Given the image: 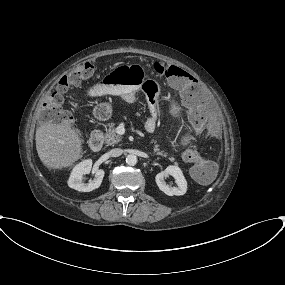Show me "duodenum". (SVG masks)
Returning <instances> with one entry per match:
<instances>
[{"label": "duodenum", "mask_w": 285, "mask_h": 285, "mask_svg": "<svg viewBox=\"0 0 285 285\" xmlns=\"http://www.w3.org/2000/svg\"><path fill=\"white\" fill-rule=\"evenodd\" d=\"M103 145V132L100 129L93 130L90 137V146L92 150L99 151Z\"/></svg>", "instance_id": "410a0bca"}]
</instances>
